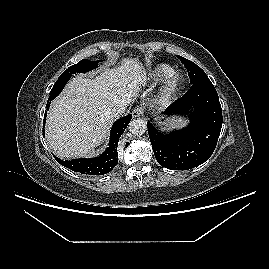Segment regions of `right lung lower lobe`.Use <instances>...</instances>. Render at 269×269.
Listing matches in <instances>:
<instances>
[{"label":"right lung lower lobe","instance_id":"98d812e1","mask_svg":"<svg viewBox=\"0 0 269 269\" xmlns=\"http://www.w3.org/2000/svg\"><path fill=\"white\" fill-rule=\"evenodd\" d=\"M70 77L59 78L54 84L52 90L50 91V97L48 99L47 108L50 106V101L60 94L65 84L68 82ZM46 112L44 116V124L46 121ZM132 115L129 114L125 117L118 119L112 129L110 135L109 147L100 156L96 158H81L74 160H60L55 157V159L63 166L71 169L75 172H80L86 175H103L109 173L118 163V153L117 145L119 138L125 131L127 125L129 124Z\"/></svg>","mask_w":269,"mask_h":269}]
</instances>
